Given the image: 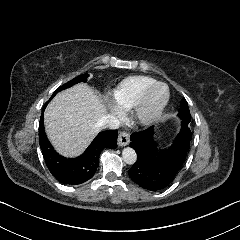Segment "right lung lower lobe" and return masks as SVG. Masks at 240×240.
I'll use <instances>...</instances> for the list:
<instances>
[{
  "label": "right lung lower lobe",
  "mask_w": 240,
  "mask_h": 240,
  "mask_svg": "<svg viewBox=\"0 0 240 240\" xmlns=\"http://www.w3.org/2000/svg\"><path fill=\"white\" fill-rule=\"evenodd\" d=\"M44 109L40 118L39 143L49 171L63 184L78 185L88 181L99 165L101 152L107 148L117 147V130L100 132L81 156L64 158L56 153L47 139L43 123Z\"/></svg>",
  "instance_id": "1"
}]
</instances>
